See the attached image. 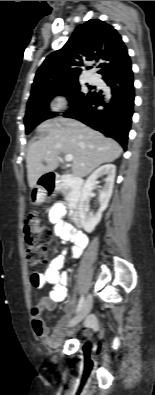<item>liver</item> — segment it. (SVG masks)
<instances>
[{
  "label": "liver",
  "mask_w": 155,
  "mask_h": 395,
  "mask_svg": "<svg viewBox=\"0 0 155 395\" xmlns=\"http://www.w3.org/2000/svg\"><path fill=\"white\" fill-rule=\"evenodd\" d=\"M37 132L47 136L30 144L27 152V177L30 188L59 165V155L72 154V174L84 177L104 163L115 161L122 153L113 139L71 118L46 120ZM46 162V165L43 164Z\"/></svg>",
  "instance_id": "obj_1"
}]
</instances>
